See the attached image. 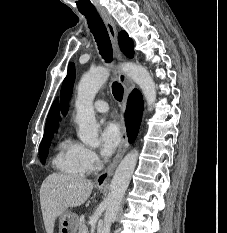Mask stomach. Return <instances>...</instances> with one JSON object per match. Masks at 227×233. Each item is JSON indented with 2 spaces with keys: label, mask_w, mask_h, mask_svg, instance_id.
<instances>
[{
  "label": "stomach",
  "mask_w": 227,
  "mask_h": 233,
  "mask_svg": "<svg viewBox=\"0 0 227 233\" xmlns=\"http://www.w3.org/2000/svg\"><path fill=\"white\" fill-rule=\"evenodd\" d=\"M102 190V189H100ZM78 217L71 211H66L59 218V233H77Z\"/></svg>",
  "instance_id": "stomach-1"
}]
</instances>
